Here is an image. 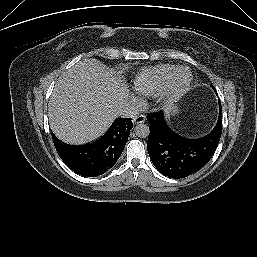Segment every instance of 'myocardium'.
Masks as SVG:
<instances>
[{
	"label": "myocardium",
	"instance_id": "obj_1",
	"mask_svg": "<svg viewBox=\"0 0 257 257\" xmlns=\"http://www.w3.org/2000/svg\"><path fill=\"white\" fill-rule=\"evenodd\" d=\"M181 73L186 74V79L181 85H175V79ZM193 81V75L187 68H176L165 79L162 88L155 96L156 100L160 103L173 102L181 98L190 88Z\"/></svg>",
	"mask_w": 257,
	"mask_h": 257
}]
</instances>
